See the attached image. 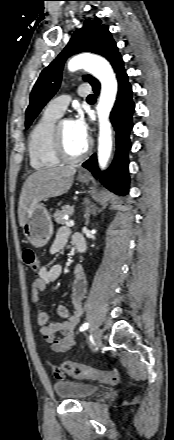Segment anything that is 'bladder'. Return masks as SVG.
<instances>
[{
  "mask_svg": "<svg viewBox=\"0 0 174 440\" xmlns=\"http://www.w3.org/2000/svg\"><path fill=\"white\" fill-rule=\"evenodd\" d=\"M53 389L59 398L81 400L88 398L98 391V386L86 382L69 381L57 382Z\"/></svg>",
  "mask_w": 174,
  "mask_h": 440,
  "instance_id": "1",
  "label": "bladder"
}]
</instances>
